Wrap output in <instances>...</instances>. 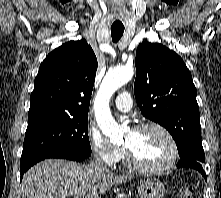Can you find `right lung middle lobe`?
I'll return each mask as SVG.
<instances>
[{"label":"right lung middle lobe","mask_w":221,"mask_h":198,"mask_svg":"<svg viewBox=\"0 0 221 198\" xmlns=\"http://www.w3.org/2000/svg\"><path fill=\"white\" fill-rule=\"evenodd\" d=\"M88 116L45 117L28 122L20 164L52 150L73 151L89 157Z\"/></svg>","instance_id":"right-lung-middle-lobe-1"}]
</instances>
